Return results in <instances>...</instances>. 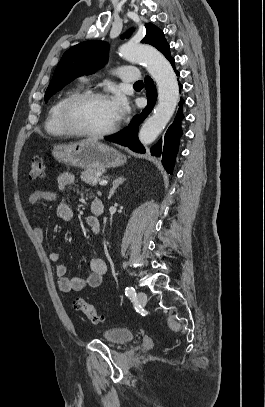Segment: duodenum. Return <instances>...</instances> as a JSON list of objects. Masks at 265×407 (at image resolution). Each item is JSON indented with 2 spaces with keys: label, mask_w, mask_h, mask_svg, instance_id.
<instances>
[{
  "label": "duodenum",
  "mask_w": 265,
  "mask_h": 407,
  "mask_svg": "<svg viewBox=\"0 0 265 407\" xmlns=\"http://www.w3.org/2000/svg\"><path fill=\"white\" fill-rule=\"evenodd\" d=\"M91 210L94 215L99 216L104 212V203L101 199H94L91 204Z\"/></svg>",
  "instance_id": "410a0bca"
}]
</instances>
